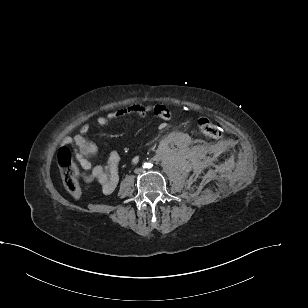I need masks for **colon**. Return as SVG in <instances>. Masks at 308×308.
Masks as SVG:
<instances>
[{
  "label": "colon",
  "instance_id": "obj_1",
  "mask_svg": "<svg viewBox=\"0 0 308 308\" xmlns=\"http://www.w3.org/2000/svg\"><path fill=\"white\" fill-rule=\"evenodd\" d=\"M198 128L209 138L219 139L222 136L219 127L208 118H200L198 120ZM57 159L61 168L64 187L73 196L80 197L82 191L79 183V170L73 159L71 150L67 146H62L57 153Z\"/></svg>",
  "mask_w": 308,
  "mask_h": 308
}]
</instances>
